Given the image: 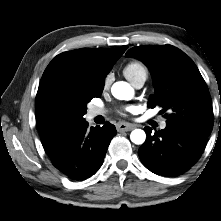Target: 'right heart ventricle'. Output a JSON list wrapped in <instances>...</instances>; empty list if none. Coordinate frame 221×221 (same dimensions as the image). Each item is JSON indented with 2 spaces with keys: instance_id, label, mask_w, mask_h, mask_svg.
<instances>
[{
  "instance_id": "e07e8e85",
  "label": "right heart ventricle",
  "mask_w": 221,
  "mask_h": 221,
  "mask_svg": "<svg viewBox=\"0 0 221 221\" xmlns=\"http://www.w3.org/2000/svg\"><path fill=\"white\" fill-rule=\"evenodd\" d=\"M124 75L133 82L135 79L147 76L146 68L139 62H130L124 68Z\"/></svg>"
}]
</instances>
